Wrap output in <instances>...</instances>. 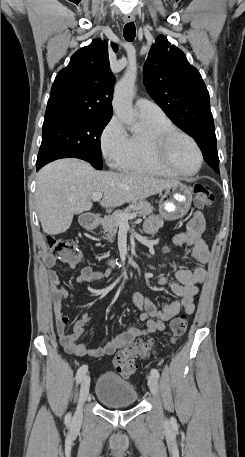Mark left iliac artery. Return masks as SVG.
Wrapping results in <instances>:
<instances>
[{
  "label": "left iliac artery",
  "mask_w": 245,
  "mask_h": 457,
  "mask_svg": "<svg viewBox=\"0 0 245 457\" xmlns=\"http://www.w3.org/2000/svg\"><path fill=\"white\" fill-rule=\"evenodd\" d=\"M151 374L154 375L156 378L160 377L159 371L156 368L151 370Z\"/></svg>",
  "instance_id": "left-iliac-artery-1"
}]
</instances>
